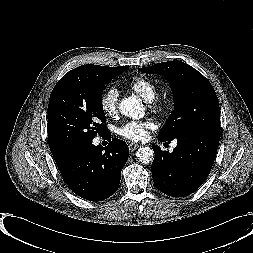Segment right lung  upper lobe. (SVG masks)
<instances>
[{
	"label": "right lung upper lobe",
	"instance_id": "cb5924a9",
	"mask_svg": "<svg viewBox=\"0 0 253 253\" xmlns=\"http://www.w3.org/2000/svg\"><path fill=\"white\" fill-rule=\"evenodd\" d=\"M108 66H98V65H92V64H88V65H82V66H79V67H77V68H75V69H82V68H97V69H105V68H107ZM51 152H52V154H53V157H54V159H55V161H56V163H57V165H59V164H61L63 161H64V159L67 157V155L69 154V153H62V152H58V151H56V150H54V149H51Z\"/></svg>",
	"mask_w": 253,
	"mask_h": 253
}]
</instances>
